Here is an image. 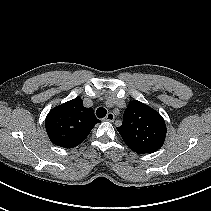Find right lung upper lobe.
<instances>
[{"mask_svg":"<svg viewBox=\"0 0 211 211\" xmlns=\"http://www.w3.org/2000/svg\"><path fill=\"white\" fill-rule=\"evenodd\" d=\"M92 108H85L83 100L75 98L53 108L45 120L47 134L53 144L73 148L82 143L99 123Z\"/></svg>","mask_w":211,"mask_h":211,"instance_id":"1","label":"right lung upper lobe"}]
</instances>
